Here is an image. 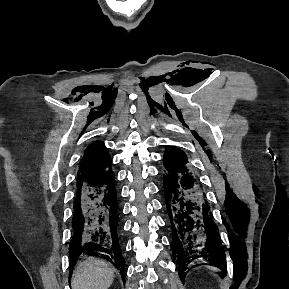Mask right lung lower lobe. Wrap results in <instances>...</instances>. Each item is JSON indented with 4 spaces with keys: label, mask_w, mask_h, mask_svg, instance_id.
<instances>
[{
    "label": "right lung lower lobe",
    "mask_w": 289,
    "mask_h": 289,
    "mask_svg": "<svg viewBox=\"0 0 289 289\" xmlns=\"http://www.w3.org/2000/svg\"><path fill=\"white\" fill-rule=\"evenodd\" d=\"M73 204L70 272L81 254H101L100 257L121 271L125 281L117 196L111 169L91 180L77 183Z\"/></svg>",
    "instance_id": "1"
}]
</instances>
